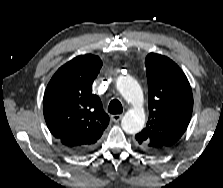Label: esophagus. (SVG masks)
Returning a JSON list of instances; mask_svg holds the SVG:
<instances>
[{
    "label": "esophagus",
    "mask_w": 223,
    "mask_h": 188,
    "mask_svg": "<svg viewBox=\"0 0 223 188\" xmlns=\"http://www.w3.org/2000/svg\"><path fill=\"white\" fill-rule=\"evenodd\" d=\"M123 115L122 114H115L111 116V120L113 122H119L122 119Z\"/></svg>",
    "instance_id": "obj_1"
}]
</instances>
